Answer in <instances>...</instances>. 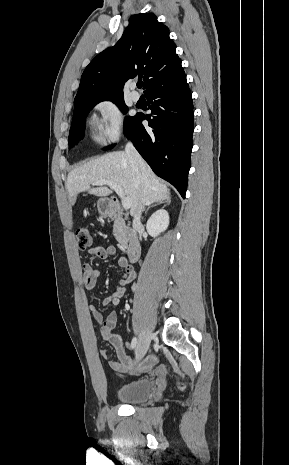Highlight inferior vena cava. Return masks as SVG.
<instances>
[{"label":"inferior vena cava","mask_w":289,"mask_h":465,"mask_svg":"<svg viewBox=\"0 0 289 465\" xmlns=\"http://www.w3.org/2000/svg\"><path fill=\"white\" fill-rule=\"evenodd\" d=\"M125 152L129 158L133 171L138 173L139 170L144 166V160L142 159V157L137 152V150L135 149V147L133 146L131 142H128L126 144ZM145 201H146L145 191H142V204L138 212L134 215L133 228H138L141 225L140 219H141L142 211L144 210Z\"/></svg>","instance_id":"inferior-vena-cava-1"}]
</instances>
